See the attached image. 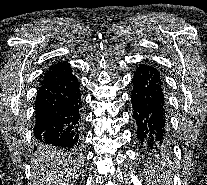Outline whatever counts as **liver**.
Returning a JSON list of instances; mask_svg holds the SVG:
<instances>
[{"label":"liver","mask_w":207,"mask_h":185,"mask_svg":"<svg viewBox=\"0 0 207 185\" xmlns=\"http://www.w3.org/2000/svg\"><path fill=\"white\" fill-rule=\"evenodd\" d=\"M50 159H53V161H57V163H59V165H61V169H57V171H54V173H58V181L57 183H63V185H71V183H73V179L76 175L75 171L76 169H65L66 173V179H63V177H61V173L60 171H62L63 167H65V165H67V163H69L70 167H75V165H77L76 161H70V159H72V157H70V155H68V153H66V151H64V149H53L52 153H47V151H43L42 153V157H33V161H32V165H38L39 167V173L40 175H48V177H51V175H53V171L52 173H48L50 167V163H48V161H50ZM68 175H70L69 179H67ZM48 183H52V181H49L48 179Z\"/></svg>","instance_id":"obj_1"}]
</instances>
